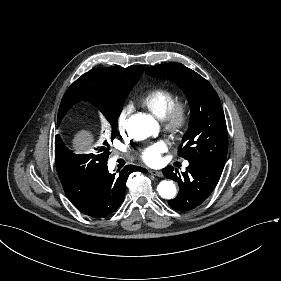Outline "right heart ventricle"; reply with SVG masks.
<instances>
[{
	"label": "right heart ventricle",
	"mask_w": 281,
	"mask_h": 281,
	"mask_svg": "<svg viewBox=\"0 0 281 281\" xmlns=\"http://www.w3.org/2000/svg\"><path fill=\"white\" fill-rule=\"evenodd\" d=\"M177 100L178 95L175 91L166 87H158L148 90L140 98V104L150 110L156 117L162 119Z\"/></svg>",
	"instance_id": "e07e8e85"
}]
</instances>
